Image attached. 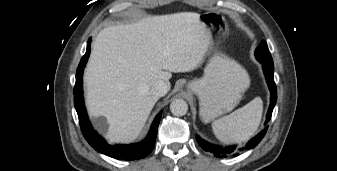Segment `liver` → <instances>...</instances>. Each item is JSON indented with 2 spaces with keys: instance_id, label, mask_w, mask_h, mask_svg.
<instances>
[{
  "instance_id": "obj_1",
  "label": "liver",
  "mask_w": 337,
  "mask_h": 171,
  "mask_svg": "<svg viewBox=\"0 0 337 171\" xmlns=\"http://www.w3.org/2000/svg\"><path fill=\"white\" fill-rule=\"evenodd\" d=\"M209 46V31L194 12L148 16L102 29L84 82L89 113L106 117V138L113 143L135 141L158 101L153 84L164 81L169 86L172 72L195 70Z\"/></svg>"
}]
</instances>
